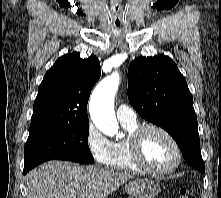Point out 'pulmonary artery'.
I'll use <instances>...</instances> for the list:
<instances>
[{"label": "pulmonary artery", "instance_id": "e3ab8cb5", "mask_svg": "<svg viewBox=\"0 0 221 198\" xmlns=\"http://www.w3.org/2000/svg\"><path fill=\"white\" fill-rule=\"evenodd\" d=\"M116 115L121 123L137 122V115L135 111L125 104L119 105V107L116 110Z\"/></svg>", "mask_w": 221, "mask_h": 198}]
</instances>
